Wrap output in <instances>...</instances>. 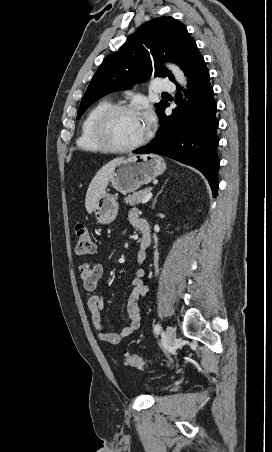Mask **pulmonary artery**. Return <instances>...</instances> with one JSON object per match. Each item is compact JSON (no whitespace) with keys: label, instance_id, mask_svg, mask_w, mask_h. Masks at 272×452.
<instances>
[{"label":"pulmonary artery","instance_id":"e3ab8cb5","mask_svg":"<svg viewBox=\"0 0 272 452\" xmlns=\"http://www.w3.org/2000/svg\"><path fill=\"white\" fill-rule=\"evenodd\" d=\"M153 90L155 93L175 91L176 84L166 78H158L154 81Z\"/></svg>","mask_w":272,"mask_h":452}]
</instances>
